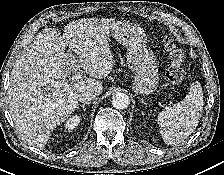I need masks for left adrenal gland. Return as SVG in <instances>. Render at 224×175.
<instances>
[{
    "instance_id": "a2214340",
    "label": "left adrenal gland",
    "mask_w": 224,
    "mask_h": 175,
    "mask_svg": "<svg viewBox=\"0 0 224 175\" xmlns=\"http://www.w3.org/2000/svg\"><path fill=\"white\" fill-rule=\"evenodd\" d=\"M140 100H141V102H142L144 105H146V106L148 105V103L145 102L144 99H140Z\"/></svg>"
}]
</instances>
